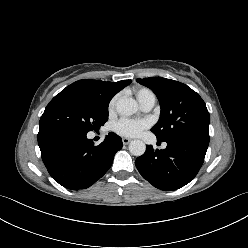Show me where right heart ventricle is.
Returning <instances> with one entry per match:
<instances>
[{"label":"right heart ventricle","mask_w":248,"mask_h":248,"mask_svg":"<svg viewBox=\"0 0 248 248\" xmlns=\"http://www.w3.org/2000/svg\"><path fill=\"white\" fill-rule=\"evenodd\" d=\"M135 94H136L138 101L141 104L144 103L145 101L149 100V99H155L156 100L154 93L146 87H140V88L136 89Z\"/></svg>","instance_id":"right-heart-ventricle-1"}]
</instances>
